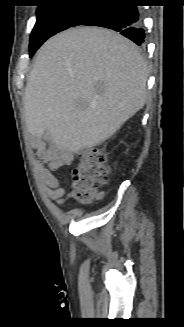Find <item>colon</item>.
<instances>
[{
	"label": "colon",
	"instance_id": "5ec220e1",
	"mask_svg": "<svg viewBox=\"0 0 184 327\" xmlns=\"http://www.w3.org/2000/svg\"><path fill=\"white\" fill-rule=\"evenodd\" d=\"M110 174L104 152L99 148L86 153L71 175L74 196L83 203H90L100 194V187L108 182Z\"/></svg>",
	"mask_w": 184,
	"mask_h": 327
}]
</instances>
